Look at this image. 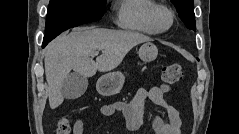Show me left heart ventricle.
<instances>
[{
    "mask_svg": "<svg viewBox=\"0 0 239 134\" xmlns=\"http://www.w3.org/2000/svg\"><path fill=\"white\" fill-rule=\"evenodd\" d=\"M168 17L166 16V15H162L161 17H160V24L161 25H163V26H165V25H167V23H168Z\"/></svg>",
    "mask_w": 239,
    "mask_h": 134,
    "instance_id": "1",
    "label": "left heart ventricle"
}]
</instances>
